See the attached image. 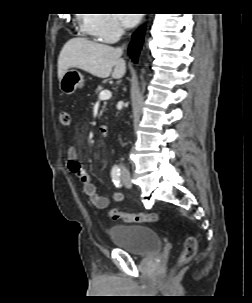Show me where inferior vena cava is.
Returning <instances> with one entry per match:
<instances>
[{
  "label": "inferior vena cava",
  "instance_id": "inferior-vena-cava-1",
  "mask_svg": "<svg viewBox=\"0 0 252 303\" xmlns=\"http://www.w3.org/2000/svg\"><path fill=\"white\" fill-rule=\"evenodd\" d=\"M118 51H119V52H122V51H123V48H118ZM120 168H121V173H122V174H128V170L126 169L125 166H123L122 164H120Z\"/></svg>",
  "mask_w": 252,
  "mask_h": 303
}]
</instances>
